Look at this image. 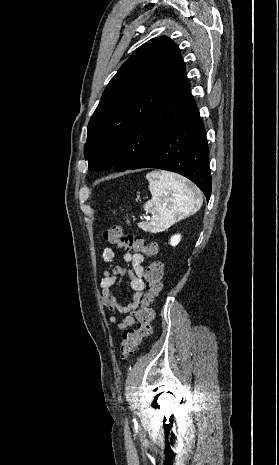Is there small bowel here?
Here are the masks:
<instances>
[{
  "mask_svg": "<svg viewBox=\"0 0 279 465\" xmlns=\"http://www.w3.org/2000/svg\"><path fill=\"white\" fill-rule=\"evenodd\" d=\"M103 259L105 261H113L116 258V253L113 248L106 247L103 250ZM122 259L126 263L131 264V270L127 271L121 265L114 266L111 270H107L103 274L100 282L102 289L101 299L103 304L115 314H127L125 318H118L116 315L108 317V322L115 325L117 329H127L137 322L138 297L143 293L145 288L144 283V256L140 253L124 252ZM125 275L129 276L130 287L134 291V295L128 302H122L114 294L113 287L119 283L120 279Z\"/></svg>",
  "mask_w": 279,
  "mask_h": 465,
  "instance_id": "c3829d8e",
  "label": "small bowel"
}]
</instances>
